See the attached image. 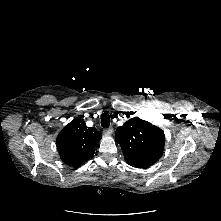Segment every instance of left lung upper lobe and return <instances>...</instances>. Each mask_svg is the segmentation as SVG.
Instances as JSON below:
<instances>
[{
    "instance_id": "1",
    "label": "left lung upper lobe",
    "mask_w": 221,
    "mask_h": 221,
    "mask_svg": "<svg viewBox=\"0 0 221 221\" xmlns=\"http://www.w3.org/2000/svg\"><path fill=\"white\" fill-rule=\"evenodd\" d=\"M115 139L120 144L126 162L136 168H147L162 156L164 132L138 117L118 127Z\"/></svg>"
}]
</instances>
